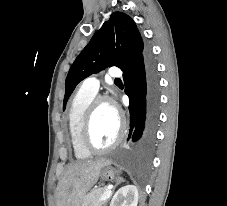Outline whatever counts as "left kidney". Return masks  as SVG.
<instances>
[{
	"label": "left kidney",
	"mask_w": 227,
	"mask_h": 206,
	"mask_svg": "<svg viewBox=\"0 0 227 206\" xmlns=\"http://www.w3.org/2000/svg\"><path fill=\"white\" fill-rule=\"evenodd\" d=\"M138 189L134 185H126L114 194L110 206H137Z\"/></svg>",
	"instance_id": "5707ae66"
}]
</instances>
